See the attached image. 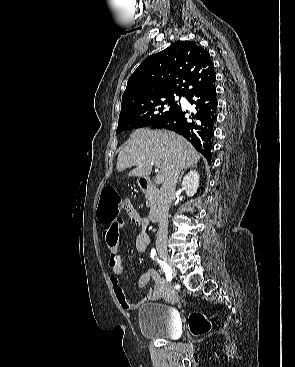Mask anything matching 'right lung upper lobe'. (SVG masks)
<instances>
[{
  "instance_id": "cb5924a9",
  "label": "right lung upper lobe",
  "mask_w": 295,
  "mask_h": 367,
  "mask_svg": "<svg viewBox=\"0 0 295 367\" xmlns=\"http://www.w3.org/2000/svg\"><path fill=\"white\" fill-rule=\"evenodd\" d=\"M215 78L209 53L193 41H178L147 57L128 79L122 113L132 102L165 94L186 96Z\"/></svg>"
}]
</instances>
